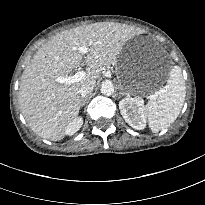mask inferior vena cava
<instances>
[{
    "label": "inferior vena cava",
    "mask_w": 205,
    "mask_h": 205,
    "mask_svg": "<svg viewBox=\"0 0 205 205\" xmlns=\"http://www.w3.org/2000/svg\"><path fill=\"white\" fill-rule=\"evenodd\" d=\"M95 86V81H90L84 83L81 88L79 89V93L82 98L86 97L90 92H92L93 88Z\"/></svg>",
    "instance_id": "obj_1"
}]
</instances>
